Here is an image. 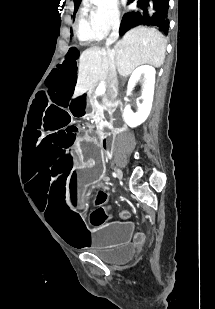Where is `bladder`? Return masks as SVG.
I'll use <instances>...</instances> for the list:
<instances>
[{"mask_svg":"<svg viewBox=\"0 0 215 309\" xmlns=\"http://www.w3.org/2000/svg\"><path fill=\"white\" fill-rule=\"evenodd\" d=\"M136 248L132 244H126L114 252L99 254V257L106 263L113 265L125 264L133 259Z\"/></svg>","mask_w":215,"mask_h":309,"instance_id":"1","label":"bladder"}]
</instances>
